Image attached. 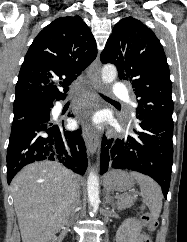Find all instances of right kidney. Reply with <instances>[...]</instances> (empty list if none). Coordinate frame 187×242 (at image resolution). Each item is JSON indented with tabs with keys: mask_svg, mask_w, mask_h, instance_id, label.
<instances>
[{
	"mask_svg": "<svg viewBox=\"0 0 187 242\" xmlns=\"http://www.w3.org/2000/svg\"><path fill=\"white\" fill-rule=\"evenodd\" d=\"M42 242H56V237L55 235H49Z\"/></svg>",
	"mask_w": 187,
	"mask_h": 242,
	"instance_id": "obj_1",
	"label": "right kidney"
}]
</instances>
